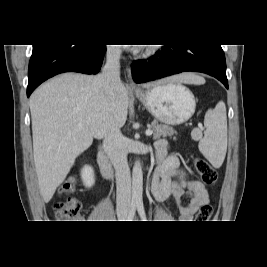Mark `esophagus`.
Masks as SVG:
<instances>
[{"label": "esophagus", "mask_w": 267, "mask_h": 267, "mask_svg": "<svg viewBox=\"0 0 267 267\" xmlns=\"http://www.w3.org/2000/svg\"><path fill=\"white\" fill-rule=\"evenodd\" d=\"M128 87L132 90H139V87L135 84V82L132 80V78L129 75V84Z\"/></svg>", "instance_id": "1"}]
</instances>
